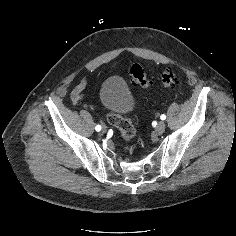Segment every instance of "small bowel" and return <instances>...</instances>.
<instances>
[{"label": "small bowel", "mask_w": 236, "mask_h": 236, "mask_svg": "<svg viewBox=\"0 0 236 236\" xmlns=\"http://www.w3.org/2000/svg\"><path fill=\"white\" fill-rule=\"evenodd\" d=\"M84 85H85V80L74 90L73 95L76 99L81 98Z\"/></svg>", "instance_id": "c3829d8e"}]
</instances>
